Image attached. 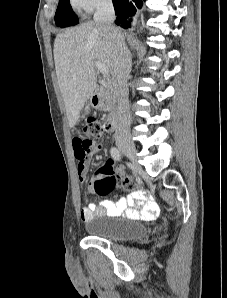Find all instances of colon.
I'll return each instance as SVG.
<instances>
[{"label": "colon", "instance_id": "1", "mask_svg": "<svg viewBox=\"0 0 227 298\" xmlns=\"http://www.w3.org/2000/svg\"><path fill=\"white\" fill-rule=\"evenodd\" d=\"M81 134L83 135L82 142H92L91 138H100L104 135V129L99 120L89 118L82 127ZM74 139L77 138L75 137ZM116 187L131 191L139 189V186L135 181L129 178L119 177L113 172L111 164H106L101 167L95 175L93 182L94 191L98 195L104 196L110 194Z\"/></svg>", "mask_w": 227, "mask_h": 298}]
</instances>
